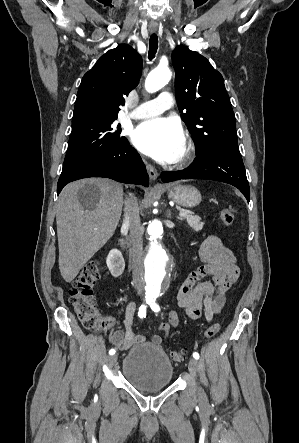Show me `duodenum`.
Instances as JSON below:
<instances>
[{
	"mask_svg": "<svg viewBox=\"0 0 299 443\" xmlns=\"http://www.w3.org/2000/svg\"><path fill=\"white\" fill-rule=\"evenodd\" d=\"M119 246L123 249L126 250L127 249V243L124 239H120L119 240Z\"/></svg>",
	"mask_w": 299,
	"mask_h": 443,
	"instance_id": "410a0bca",
	"label": "duodenum"
}]
</instances>
